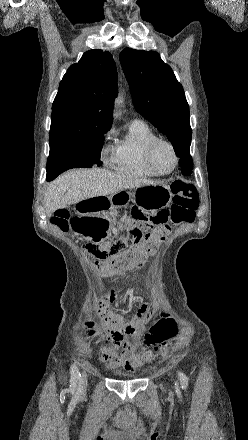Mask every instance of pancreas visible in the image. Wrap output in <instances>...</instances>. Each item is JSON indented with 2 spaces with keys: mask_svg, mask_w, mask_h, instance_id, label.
<instances>
[{
  "mask_svg": "<svg viewBox=\"0 0 248 440\" xmlns=\"http://www.w3.org/2000/svg\"><path fill=\"white\" fill-rule=\"evenodd\" d=\"M114 215H117V213H116V212H114Z\"/></svg>",
  "mask_w": 248,
  "mask_h": 440,
  "instance_id": "obj_1",
  "label": "pancreas"
}]
</instances>
